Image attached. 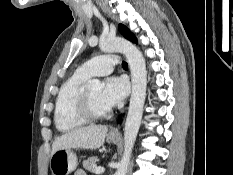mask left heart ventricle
<instances>
[{"label": "left heart ventricle", "mask_w": 233, "mask_h": 175, "mask_svg": "<svg viewBox=\"0 0 233 175\" xmlns=\"http://www.w3.org/2000/svg\"><path fill=\"white\" fill-rule=\"evenodd\" d=\"M101 91V88L86 90L94 109L99 112H103L109 109L103 104L101 100Z\"/></svg>", "instance_id": "1"}]
</instances>
